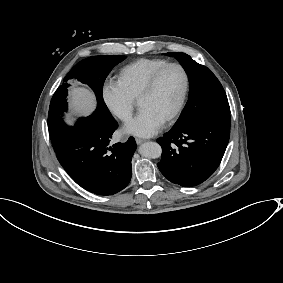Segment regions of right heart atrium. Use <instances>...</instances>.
Instances as JSON below:
<instances>
[{
    "instance_id": "right-heart-atrium-1",
    "label": "right heart atrium",
    "mask_w": 283,
    "mask_h": 283,
    "mask_svg": "<svg viewBox=\"0 0 283 283\" xmlns=\"http://www.w3.org/2000/svg\"><path fill=\"white\" fill-rule=\"evenodd\" d=\"M101 95L105 105L117 119L122 122L130 120L135 100L129 96L119 80L107 79L102 85Z\"/></svg>"
}]
</instances>
